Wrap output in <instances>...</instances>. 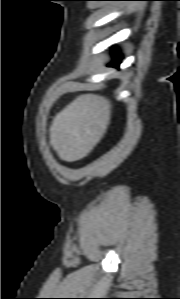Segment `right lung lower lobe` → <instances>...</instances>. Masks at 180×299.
I'll return each instance as SVG.
<instances>
[{"label": "right lung lower lobe", "instance_id": "right-lung-lower-lobe-1", "mask_svg": "<svg viewBox=\"0 0 180 299\" xmlns=\"http://www.w3.org/2000/svg\"><path fill=\"white\" fill-rule=\"evenodd\" d=\"M109 66L119 67V62L118 61L112 62Z\"/></svg>", "mask_w": 180, "mask_h": 299}]
</instances>
